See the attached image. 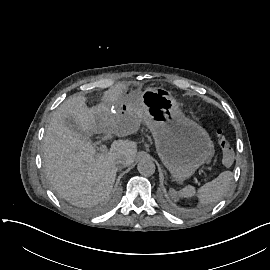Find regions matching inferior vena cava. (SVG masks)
<instances>
[{
    "label": "inferior vena cava",
    "mask_w": 270,
    "mask_h": 270,
    "mask_svg": "<svg viewBox=\"0 0 270 270\" xmlns=\"http://www.w3.org/2000/svg\"><path fill=\"white\" fill-rule=\"evenodd\" d=\"M117 164L123 165V166H127V161L126 160H122V161L117 162Z\"/></svg>",
    "instance_id": "obj_1"
}]
</instances>
